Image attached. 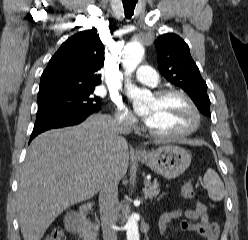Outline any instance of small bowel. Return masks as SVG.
<instances>
[{
  "mask_svg": "<svg viewBox=\"0 0 248 240\" xmlns=\"http://www.w3.org/2000/svg\"><path fill=\"white\" fill-rule=\"evenodd\" d=\"M184 217L178 223L182 231L193 232L206 240H218L219 227L211 222L204 204L196 202L192 208H175L163 214L158 220V229L163 234L168 233L169 223Z\"/></svg>",
  "mask_w": 248,
  "mask_h": 240,
  "instance_id": "obj_1",
  "label": "small bowel"
}]
</instances>
